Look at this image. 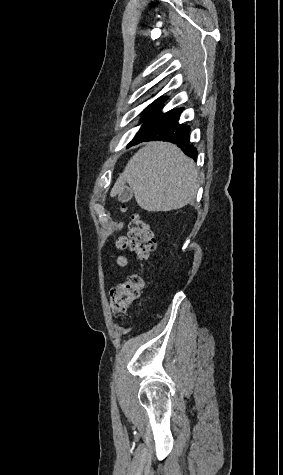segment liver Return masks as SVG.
<instances>
[{
	"mask_svg": "<svg viewBox=\"0 0 283 475\" xmlns=\"http://www.w3.org/2000/svg\"><path fill=\"white\" fill-rule=\"evenodd\" d=\"M197 178L195 162L175 144L147 142L129 160L110 196L114 198L120 194L127 182L142 210H179L194 200Z\"/></svg>",
	"mask_w": 283,
	"mask_h": 475,
	"instance_id": "liver-1",
	"label": "liver"
}]
</instances>
